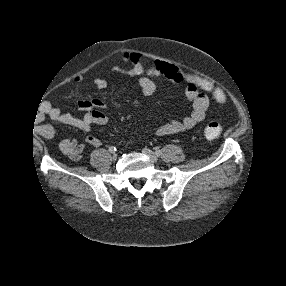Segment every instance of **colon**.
I'll use <instances>...</instances> for the list:
<instances>
[{
  "mask_svg": "<svg viewBox=\"0 0 286 286\" xmlns=\"http://www.w3.org/2000/svg\"><path fill=\"white\" fill-rule=\"evenodd\" d=\"M125 61L128 64V69L138 74L147 73L152 76H167V67L161 62L148 61L138 54L127 55ZM197 84L206 91L212 90V85L205 80L197 79ZM215 95L218 101L222 100V96L219 92H216ZM222 131L223 127L220 123L210 122L205 126L203 135L206 139H216L221 135Z\"/></svg>",
  "mask_w": 286,
  "mask_h": 286,
  "instance_id": "obj_1",
  "label": "colon"
}]
</instances>
